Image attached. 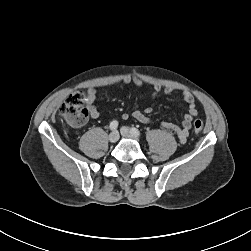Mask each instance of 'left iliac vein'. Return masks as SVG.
Instances as JSON below:
<instances>
[{
	"label": "left iliac vein",
	"mask_w": 251,
	"mask_h": 251,
	"mask_svg": "<svg viewBox=\"0 0 251 251\" xmlns=\"http://www.w3.org/2000/svg\"><path fill=\"white\" fill-rule=\"evenodd\" d=\"M120 133L123 137H126V138H131V139H138V136L133 134L131 132V130H129L127 127L123 126L121 127L120 129Z\"/></svg>",
	"instance_id": "left-iliac-vein-1"
}]
</instances>
